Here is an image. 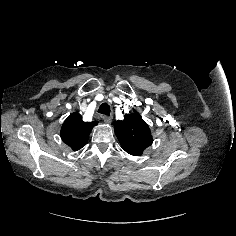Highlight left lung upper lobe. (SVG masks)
Returning a JSON list of instances; mask_svg holds the SVG:
<instances>
[{
    "label": "left lung upper lobe",
    "instance_id": "5c2ea615",
    "mask_svg": "<svg viewBox=\"0 0 236 236\" xmlns=\"http://www.w3.org/2000/svg\"><path fill=\"white\" fill-rule=\"evenodd\" d=\"M114 130L121 147L129 154H142L153 142L149 126L137 113L116 121Z\"/></svg>",
    "mask_w": 236,
    "mask_h": 236
}]
</instances>
